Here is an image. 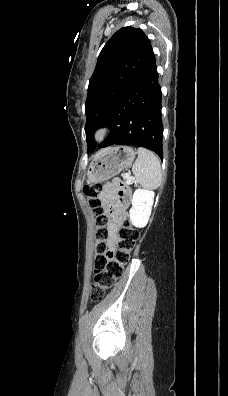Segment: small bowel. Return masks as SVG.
Listing matches in <instances>:
<instances>
[{"label": "small bowel", "instance_id": "c3829d8e", "mask_svg": "<svg viewBox=\"0 0 228 396\" xmlns=\"http://www.w3.org/2000/svg\"><path fill=\"white\" fill-rule=\"evenodd\" d=\"M101 200L106 213L110 216L107 228L110 232V244H113L117 237L120 222L124 215V208L119 202L115 193L110 188H105L101 194Z\"/></svg>", "mask_w": 228, "mask_h": 396}]
</instances>
